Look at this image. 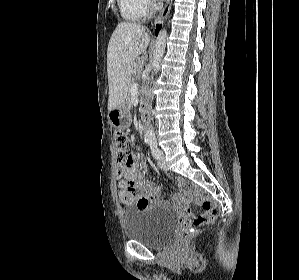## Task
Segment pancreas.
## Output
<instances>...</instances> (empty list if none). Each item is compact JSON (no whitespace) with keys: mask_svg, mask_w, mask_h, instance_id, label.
<instances>
[{"mask_svg":"<svg viewBox=\"0 0 299 280\" xmlns=\"http://www.w3.org/2000/svg\"><path fill=\"white\" fill-rule=\"evenodd\" d=\"M131 86L132 85H129V93H128V95H127V98H126V103L129 105V106H131V104H132V96H131V94H130V88H131Z\"/></svg>","mask_w":299,"mask_h":280,"instance_id":"obj_1","label":"pancreas"}]
</instances>
